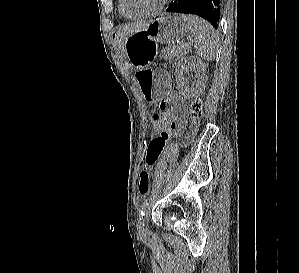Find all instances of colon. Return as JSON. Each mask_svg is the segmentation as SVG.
<instances>
[{"label": "colon", "mask_w": 299, "mask_h": 273, "mask_svg": "<svg viewBox=\"0 0 299 273\" xmlns=\"http://www.w3.org/2000/svg\"><path fill=\"white\" fill-rule=\"evenodd\" d=\"M192 122L196 123L202 116V102L200 99H195L191 102L188 110ZM171 121V116L167 112H157L153 115L151 137L158 136L163 133ZM151 186V175L149 171L143 170L138 178V194L146 195Z\"/></svg>", "instance_id": "5ec220e1"}]
</instances>
